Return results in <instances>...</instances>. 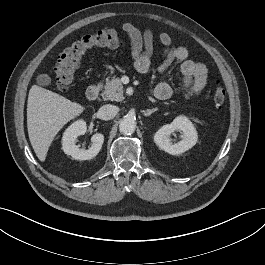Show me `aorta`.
Instances as JSON below:
<instances>
[{
	"mask_svg": "<svg viewBox=\"0 0 265 265\" xmlns=\"http://www.w3.org/2000/svg\"><path fill=\"white\" fill-rule=\"evenodd\" d=\"M136 129V121L131 116H125L119 124V130L125 135H130L134 133Z\"/></svg>",
	"mask_w": 265,
	"mask_h": 265,
	"instance_id": "aorta-1",
	"label": "aorta"
}]
</instances>
